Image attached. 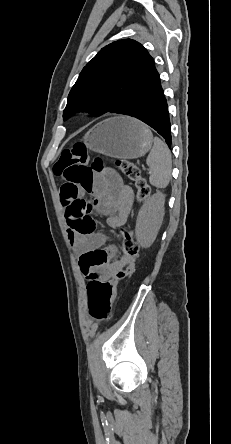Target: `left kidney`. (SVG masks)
Here are the masks:
<instances>
[{"label":"left kidney","mask_w":231,"mask_h":444,"mask_svg":"<svg viewBox=\"0 0 231 444\" xmlns=\"http://www.w3.org/2000/svg\"><path fill=\"white\" fill-rule=\"evenodd\" d=\"M165 196L157 192L145 201L139 210L135 234L137 242L148 248L155 241L164 217Z\"/></svg>","instance_id":"5707ae66"}]
</instances>
